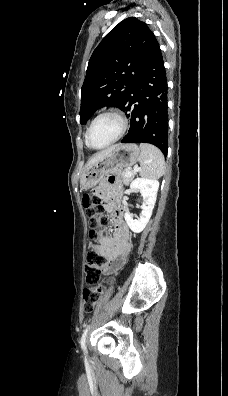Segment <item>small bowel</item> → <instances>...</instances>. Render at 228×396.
Returning <instances> with one entry per match:
<instances>
[{
	"label": "small bowel",
	"mask_w": 228,
	"mask_h": 396,
	"mask_svg": "<svg viewBox=\"0 0 228 396\" xmlns=\"http://www.w3.org/2000/svg\"><path fill=\"white\" fill-rule=\"evenodd\" d=\"M95 193L105 201L107 209H111L114 204L118 203L120 186L116 177L112 176L107 181L95 188ZM115 217V236L114 238H100L99 253L107 261H117L131 250L129 243L130 232L123 220V211L119 206L114 208ZM121 220V223H120ZM125 225L123 228L122 225ZM104 270L108 271V265L104 266Z\"/></svg>",
	"instance_id": "c3829d8e"
}]
</instances>
